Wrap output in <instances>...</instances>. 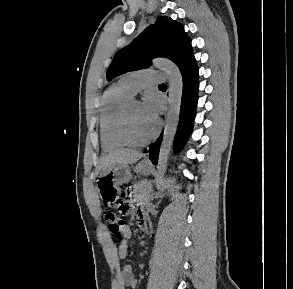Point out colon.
I'll list each match as a JSON object with an SVG mask.
<instances>
[{
	"label": "colon",
	"mask_w": 293,
	"mask_h": 289,
	"mask_svg": "<svg viewBox=\"0 0 293 289\" xmlns=\"http://www.w3.org/2000/svg\"><path fill=\"white\" fill-rule=\"evenodd\" d=\"M129 194V190L126 191ZM140 210L135 205L131 204L129 201L125 200L119 204L118 212L106 211L105 219L108 224L109 230L114 235H122L124 229V222L120 218L121 215H137Z\"/></svg>",
	"instance_id": "1"
}]
</instances>
